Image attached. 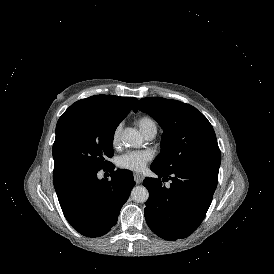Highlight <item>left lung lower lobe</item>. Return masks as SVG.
Returning <instances> with one entry per match:
<instances>
[{
  "label": "left lung lower lobe",
  "instance_id": "0a47b994",
  "mask_svg": "<svg viewBox=\"0 0 274 274\" xmlns=\"http://www.w3.org/2000/svg\"><path fill=\"white\" fill-rule=\"evenodd\" d=\"M159 179L145 178L149 191L144 210L150 229L166 240L185 238L203 221L218 182V171L191 167L165 171L151 165ZM163 178V180H161ZM171 180L169 188L162 182Z\"/></svg>",
  "mask_w": 274,
  "mask_h": 274
}]
</instances>
